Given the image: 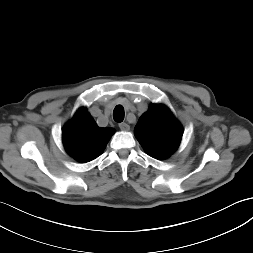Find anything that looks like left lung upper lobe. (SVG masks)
<instances>
[{
    "instance_id": "left-lung-upper-lobe-1",
    "label": "left lung upper lobe",
    "mask_w": 253,
    "mask_h": 253,
    "mask_svg": "<svg viewBox=\"0 0 253 253\" xmlns=\"http://www.w3.org/2000/svg\"><path fill=\"white\" fill-rule=\"evenodd\" d=\"M134 134L148 155L165 159L178 148L183 129L166 106L152 104L140 117Z\"/></svg>"
}]
</instances>
